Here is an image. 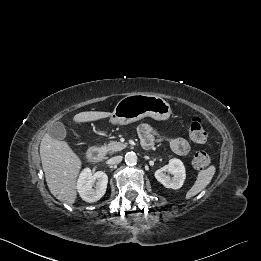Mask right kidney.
Instances as JSON below:
<instances>
[{
	"label": "right kidney",
	"mask_w": 261,
	"mask_h": 261,
	"mask_svg": "<svg viewBox=\"0 0 261 261\" xmlns=\"http://www.w3.org/2000/svg\"><path fill=\"white\" fill-rule=\"evenodd\" d=\"M108 176L102 171L92 174L89 168H85L77 181V190L80 197L86 202H96L100 200L107 188Z\"/></svg>",
	"instance_id": "obj_1"
}]
</instances>
